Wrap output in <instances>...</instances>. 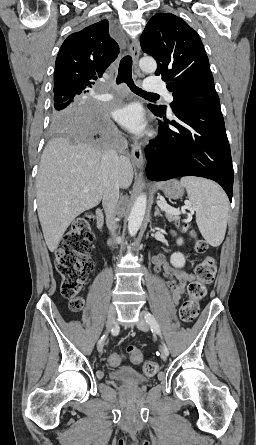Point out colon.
Segmentation results:
<instances>
[{
    "label": "colon",
    "mask_w": 256,
    "mask_h": 445,
    "mask_svg": "<svg viewBox=\"0 0 256 445\" xmlns=\"http://www.w3.org/2000/svg\"><path fill=\"white\" fill-rule=\"evenodd\" d=\"M92 216L83 214L75 218L70 228L63 235L55 253L56 269L61 277L60 291L63 297L69 300L70 310L78 312L82 308L80 292L88 275L93 270V262L89 257L93 244V234L90 223ZM182 227L190 230L189 225L182 221ZM207 244L198 240L195 251L205 254ZM216 260L212 255H206L196 267V277L188 285V296L182 304L179 315L185 324H191L199 314V302L207 295L208 287L214 281L216 275ZM130 360L134 364L142 361L143 355L135 347H129ZM123 356L113 353L109 357L111 365H119ZM158 366L154 361H146L143 364V372L147 376H153Z\"/></svg>",
    "instance_id": "5ec220e1"
}]
</instances>
